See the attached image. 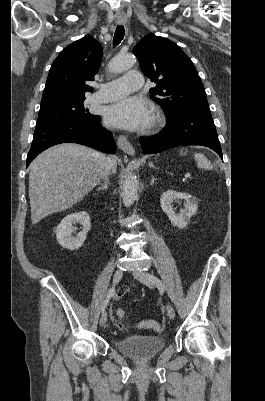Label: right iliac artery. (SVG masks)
I'll list each match as a JSON object with an SVG mask.
<instances>
[{
    "label": "right iliac artery",
    "instance_id": "1",
    "mask_svg": "<svg viewBox=\"0 0 265 401\" xmlns=\"http://www.w3.org/2000/svg\"><path fill=\"white\" fill-rule=\"evenodd\" d=\"M114 293H115V288H114V287L110 288L109 291H108V293H107L106 299H105V301H104V303H103L102 312H103V311L105 310V308L107 307V305H108V303H109L111 297L114 295Z\"/></svg>",
    "mask_w": 265,
    "mask_h": 401
}]
</instances>
